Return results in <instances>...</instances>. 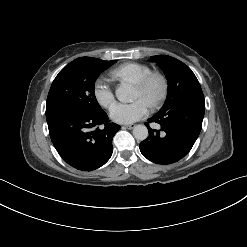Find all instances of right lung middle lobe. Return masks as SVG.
Masks as SVG:
<instances>
[{
    "instance_id": "obj_1",
    "label": "right lung middle lobe",
    "mask_w": 247,
    "mask_h": 247,
    "mask_svg": "<svg viewBox=\"0 0 247 247\" xmlns=\"http://www.w3.org/2000/svg\"><path fill=\"white\" fill-rule=\"evenodd\" d=\"M117 60L104 61L81 57L66 65L54 79L46 104V117L65 111L96 114L102 111L98 104L95 81L105 69Z\"/></svg>"
}]
</instances>
